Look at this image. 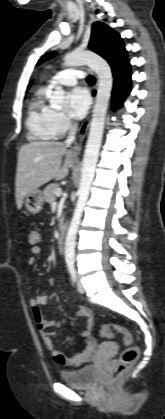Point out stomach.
I'll list each match as a JSON object with an SVG mask.
<instances>
[{
	"mask_svg": "<svg viewBox=\"0 0 165 419\" xmlns=\"http://www.w3.org/2000/svg\"><path fill=\"white\" fill-rule=\"evenodd\" d=\"M44 204L43 193L36 189L29 193L24 198V205L26 210L31 214H37L42 210Z\"/></svg>",
	"mask_w": 165,
	"mask_h": 419,
	"instance_id": "stomach-1",
	"label": "stomach"
}]
</instances>
